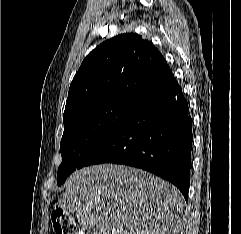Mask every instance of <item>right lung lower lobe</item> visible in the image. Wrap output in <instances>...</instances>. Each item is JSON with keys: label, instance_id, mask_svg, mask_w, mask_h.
I'll return each mask as SVG.
<instances>
[{"label": "right lung lower lobe", "instance_id": "right-lung-lower-lobe-1", "mask_svg": "<svg viewBox=\"0 0 241 234\" xmlns=\"http://www.w3.org/2000/svg\"><path fill=\"white\" fill-rule=\"evenodd\" d=\"M192 141L188 103L172 73L133 105L80 168L100 163L141 168L173 183L187 201Z\"/></svg>", "mask_w": 241, "mask_h": 234}]
</instances>
